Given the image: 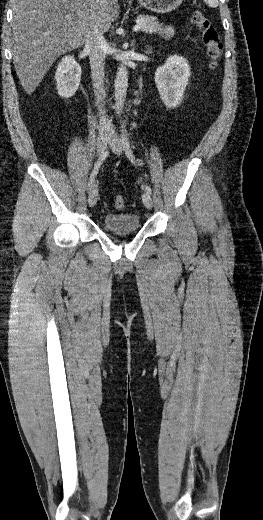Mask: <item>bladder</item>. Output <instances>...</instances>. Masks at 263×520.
<instances>
[{
	"label": "bladder",
	"instance_id": "bladder-1",
	"mask_svg": "<svg viewBox=\"0 0 263 520\" xmlns=\"http://www.w3.org/2000/svg\"><path fill=\"white\" fill-rule=\"evenodd\" d=\"M141 227L139 215L135 213L107 214L103 228L110 233L121 234L138 231Z\"/></svg>",
	"mask_w": 263,
	"mask_h": 520
}]
</instances>
